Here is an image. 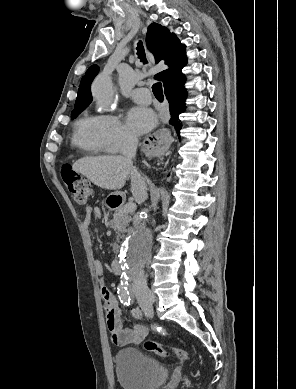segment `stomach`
Listing matches in <instances>:
<instances>
[{
	"label": "stomach",
	"instance_id": "obj_1",
	"mask_svg": "<svg viewBox=\"0 0 296 389\" xmlns=\"http://www.w3.org/2000/svg\"><path fill=\"white\" fill-rule=\"evenodd\" d=\"M110 196H122V194L121 193H119V192H115V193H113L112 195H110Z\"/></svg>",
	"mask_w": 296,
	"mask_h": 389
}]
</instances>
